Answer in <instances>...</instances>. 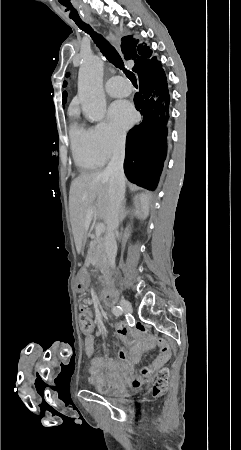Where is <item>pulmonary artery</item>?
Here are the masks:
<instances>
[{
    "label": "pulmonary artery",
    "mask_w": 241,
    "mask_h": 450,
    "mask_svg": "<svg viewBox=\"0 0 241 450\" xmlns=\"http://www.w3.org/2000/svg\"><path fill=\"white\" fill-rule=\"evenodd\" d=\"M106 92L112 97H124L125 92H131L132 85L129 78H123L122 74H109L105 86Z\"/></svg>",
    "instance_id": "obj_1"
}]
</instances>
